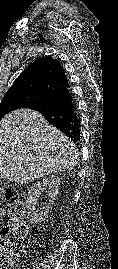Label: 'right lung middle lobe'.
I'll list each match as a JSON object with an SVG mask.
<instances>
[{"label":"right lung middle lobe","instance_id":"right-lung-middle-lobe-1","mask_svg":"<svg viewBox=\"0 0 118 269\" xmlns=\"http://www.w3.org/2000/svg\"><path fill=\"white\" fill-rule=\"evenodd\" d=\"M27 100L28 98L24 94L14 93L5 95L0 103V119L13 110L25 108Z\"/></svg>","mask_w":118,"mask_h":269}]
</instances>
